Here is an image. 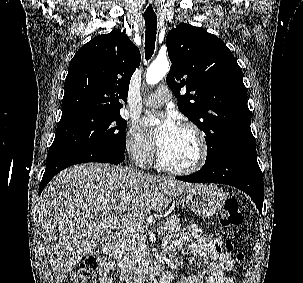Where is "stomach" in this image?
<instances>
[{"instance_id": "1", "label": "stomach", "mask_w": 303, "mask_h": 283, "mask_svg": "<svg viewBox=\"0 0 303 283\" xmlns=\"http://www.w3.org/2000/svg\"><path fill=\"white\" fill-rule=\"evenodd\" d=\"M222 190L213 185H195L186 189V204L198 216L210 218L225 202Z\"/></svg>"}]
</instances>
